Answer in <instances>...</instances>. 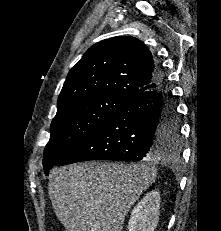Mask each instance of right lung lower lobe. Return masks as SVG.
<instances>
[{"label":"right lung lower lobe","mask_w":221,"mask_h":231,"mask_svg":"<svg viewBox=\"0 0 221 231\" xmlns=\"http://www.w3.org/2000/svg\"><path fill=\"white\" fill-rule=\"evenodd\" d=\"M155 73L156 87L127 100L57 165L100 159L140 161L175 148L165 137L175 106L160 64Z\"/></svg>","instance_id":"obj_1"}]
</instances>
